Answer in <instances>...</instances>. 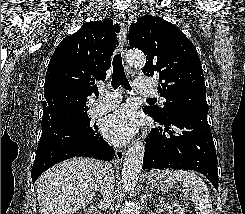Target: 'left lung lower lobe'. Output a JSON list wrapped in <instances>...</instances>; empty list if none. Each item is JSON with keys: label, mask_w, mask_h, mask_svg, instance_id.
Listing matches in <instances>:
<instances>
[{"label": "left lung lower lobe", "mask_w": 245, "mask_h": 214, "mask_svg": "<svg viewBox=\"0 0 245 214\" xmlns=\"http://www.w3.org/2000/svg\"><path fill=\"white\" fill-rule=\"evenodd\" d=\"M144 112L165 128H153L146 138L143 169L194 170L218 190L217 158L207 112H188L164 122Z\"/></svg>", "instance_id": "left-lung-lower-lobe-1"}]
</instances>
